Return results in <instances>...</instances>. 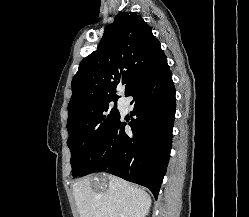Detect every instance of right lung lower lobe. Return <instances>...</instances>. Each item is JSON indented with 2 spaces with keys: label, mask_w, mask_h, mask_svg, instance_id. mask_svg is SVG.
I'll use <instances>...</instances> for the list:
<instances>
[{
  "label": "right lung lower lobe",
  "mask_w": 249,
  "mask_h": 217,
  "mask_svg": "<svg viewBox=\"0 0 249 217\" xmlns=\"http://www.w3.org/2000/svg\"><path fill=\"white\" fill-rule=\"evenodd\" d=\"M125 96L134 98L131 115L136 118L128 123L118 118L79 176L109 170L147 187L157 199L169 162L176 109L175 88L164 53ZM127 124L132 132H125Z\"/></svg>",
  "instance_id": "1"
}]
</instances>
